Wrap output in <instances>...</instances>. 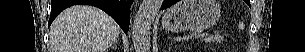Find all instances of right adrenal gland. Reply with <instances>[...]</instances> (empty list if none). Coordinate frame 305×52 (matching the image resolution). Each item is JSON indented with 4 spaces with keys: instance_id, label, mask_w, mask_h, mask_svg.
I'll return each instance as SVG.
<instances>
[{
    "instance_id": "2a0ac1e0",
    "label": "right adrenal gland",
    "mask_w": 305,
    "mask_h": 52,
    "mask_svg": "<svg viewBox=\"0 0 305 52\" xmlns=\"http://www.w3.org/2000/svg\"><path fill=\"white\" fill-rule=\"evenodd\" d=\"M116 44H117V43H115V44H114L113 46H111V47H112V48H116Z\"/></svg>"
}]
</instances>
